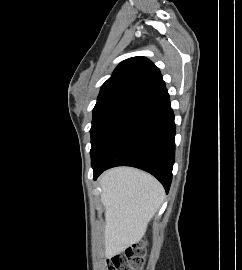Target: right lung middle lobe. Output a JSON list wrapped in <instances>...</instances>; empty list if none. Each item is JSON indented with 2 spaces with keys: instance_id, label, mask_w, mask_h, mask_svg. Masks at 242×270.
Returning a JSON list of instances; mask_svg holds the SVG:
<instances>
[{
  "instance_id": "obj_1",
  "label": "right lung middle lobe",
  "mask_w": 242,
  "mask_h": 270,
  "mask_svg": "<svg viewBox=\"0 0 242 270\" xmlns=\"http://www.w3.org/2000/svg\"><path fill=\"white\" fill-rule=\"evenodd\" d=\"M137 106L129 103H114L93 109L91 133V161H94L127 116Z\"/></svg>"
}]
</instances>
